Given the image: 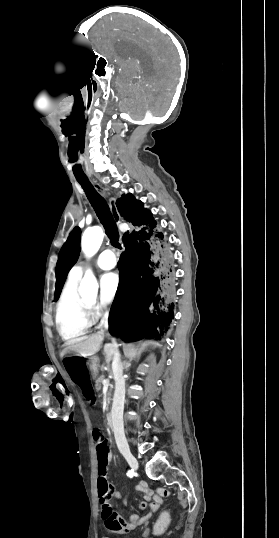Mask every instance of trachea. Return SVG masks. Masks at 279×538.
I'll return each instance as SVG.
<instances>
[{
    "label": "trachea",
    "instance_id": "trachea-1",
    "mask_svg": "<svg viewBox=\"0 0 279 538\" xmlns=\"http://www.w3.org/2000/svg\"><path fill=\"white\" fill-rule=\"evenodd\" d=\"M76 180L82 186L86 196L89 199V202L99 218L100 223H102L103 227L105 228V233L109 237L111 245L116 248H121L119 243V233L116 229L115 222L107 202L94 189L86 176H76Z\"/></svg>",
    "mask_w": 279,
    "mask_h": 538
}]
</instances>
